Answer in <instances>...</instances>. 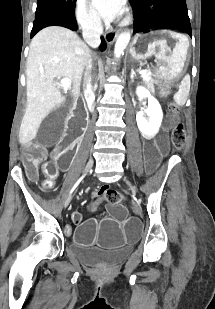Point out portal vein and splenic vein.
Wrapping results in <instances>:
<instances>
[{
    "instance_id": "portal-vein-and-splenic-vein-1",
    "label": "portal vein and splenic vein",
    "mask_w": 215,
    "mask_h": 309,
    "mask_svg": "<svg viewBox=\"0 0 215 309\" xmlns=\"http://www.w3.org/2000/svg\"><path fill=\"white\" fill-rule=\"evenodd\" d=\"M139 74H141L142 78H145L148 72L147 70H139ZM60 82L61 86H71V78H61Z\"/></svg>"
}]
</instances>
